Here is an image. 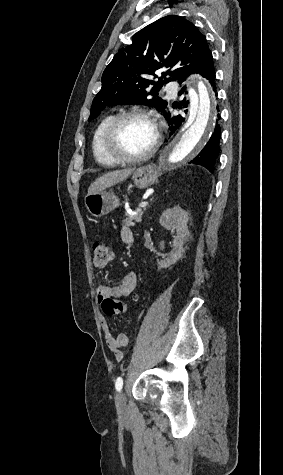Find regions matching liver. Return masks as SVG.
I'll return each mask as SVG.
<instances>
[{
	"instance_id": "liver-1",
	"label": "liver",
	"mask_w": 283,
	"mask_h": 475,
	"mask_svg": "<svg viewBox=\"0 0 283 475\" xmlns=\"http://www.w3.org/2000/svg\"><path fill=\"white\" fill-rule=\"evenodd\" d=\"M134 170L135 168H127V170H115V172L104 174L101 178H97L93 184H90L88 188V196L99 194V192H103L106 188H111V186H116L119 182H124V180H127L128 176H131Z\"/></svg>"
}]
</instances>
